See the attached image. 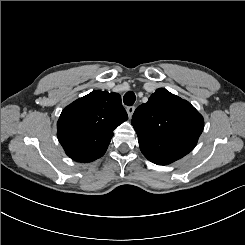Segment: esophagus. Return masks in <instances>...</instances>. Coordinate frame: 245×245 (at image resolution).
<instances>
[{"label":"esophagus","instance_id":"34e87169","mask_svg":"<svg viewBox=\"0 0 245 245\" xmlns=\"http://www.w3.org/2000/svg\"><path fill=\"white\" fill-rule=\"evenodd\" d=\"M126 110H127V114L129 116V118H131L133 113H134L135 107L134 106H128Z\"/></svg>","mask_w":245,"mask_h":245}]
</instances>
